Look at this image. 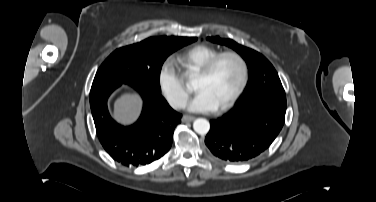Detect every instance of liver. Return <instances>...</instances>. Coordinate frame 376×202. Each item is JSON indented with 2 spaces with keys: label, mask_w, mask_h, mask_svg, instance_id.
I'll return each instance as SVG.
<instances>
[{
  "label": "liver",
  "mask_w": 376,
  "mask_h": 202,
  "mask_svg": "<svg viewBox=\"0 0 376 202\" xmlns=\"http://www.w3.org/2000/svg\"><path fill=\"white\" fill-rule=\"evenodd\" d=\"M141 99L136 94H123L114 103L113 116L115 120L124 125H132L139 117Z\"/></svg>",
  "instance_id": "obj_1"
}]
</instances>
